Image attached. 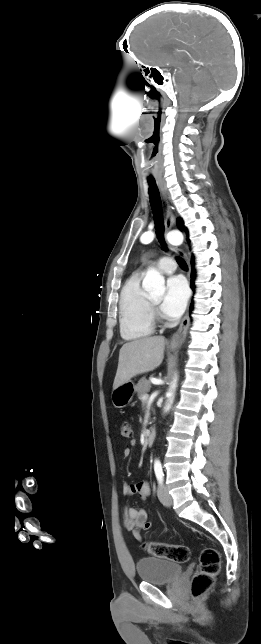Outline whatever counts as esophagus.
I'll list each match as a JSON object with an SVG mask.
<instances>
[{
	"mask_svg": "<svg viewBox=\"0 0 261 644\" xmlns=\"http://www.w3.org/2000/svg\"><path fill=\"white\" fill-rule=\"evenodd\" d=\"M159 188L161 190L162 196L164 200L166 201L167 204V215H166V220H165V231L166 233L169 232V230L172 227V209L171 206L168 203V198L166 194V190L164 188V185L162 183H159ZM173 251H175L179 256L183 257L189 266L190 269V262H189V257L188 255L180 248L178 247H173L170 246ZM188 327H189V314L188 311L186 312L185 316L183 317L181 324L178 328V330L172 335L170 339V346H180L183 344V342L186 339L187 332H188Z\"/></svg>",
	"mask_w": 261,
	"mask_h": 644,
	"instance_id": "1",
	"label": "esophagus"
}]
</instances>
